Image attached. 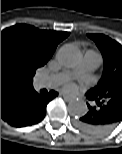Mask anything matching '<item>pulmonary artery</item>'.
<instances>
[{"label": "pulmonary artery", "instance_id": "e3ab8cb5", "mask_svg": "<svg viewBox=\"0 0 122 154\" xmlns=\"http://www.w3.org/2000/svg\"><path fill=\"white\" fill-rule=\"evenodd\" d=\"M101 56L98 52L94 50H87L80 64L76 67L73 74L75 75H84L92 72L101 64ZM72 74L71 73H62L58 75L41 77L38 78L35 86L37 88H48L59 82L67 80Z\"/></svg>", "mask_w": 122, "mask_h": 154}]
</instances>
